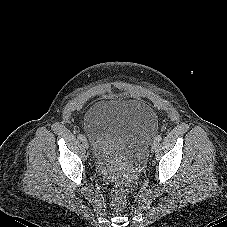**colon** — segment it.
<instances>
[{"mask_svg": "<svg viewBox=\"0 0 227 227\" xmlns=\"http://www.w3.org/2000/svg\"><path fill=\"white\" fill-rule=\"evenodd\" d=\"M128 183L120 181L116 184L111 194V206L116 211H122L127 205Z\"/></svg>", "mask_w": 227, "mask_h": 227, "instance_id": "colon-1", "label": "colon"}]
</instances>
